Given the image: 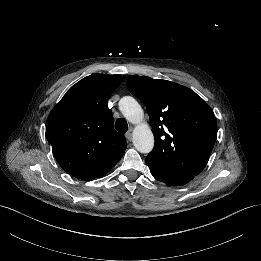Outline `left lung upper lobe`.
<instances>
[{"label":"left lung upper lobe","instance_id":"1","mask_svg":"<svg viewBox=\"0 0 261 261\" xmlns=\"http://www.w3.org/2000/svg\"><path fill=\"white\" fill-rule=\"evenodd\" d=\"M127 84L150 117L155 145L146 159L171 171L198 175L217 136L209 105L189 88L171 81L129 76Z\"/></svg>","mask_w":261,"mask_h":261}]
</instances>
